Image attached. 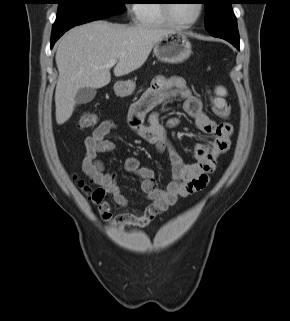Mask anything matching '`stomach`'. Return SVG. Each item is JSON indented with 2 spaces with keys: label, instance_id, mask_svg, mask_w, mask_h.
Masks as SVG:
<instances>
[{
  "label": "stomach",
  "instance_id": "1",
  "mask_svg": "<svg viewBox=\"0 0 290 321\" xmlns=\"http://www.w3.org/2000/svg\"><path fill=\"white\" fill-rule=\"evenodd\" d=\"M154 55L164 63L176 64L188 59L192 53L191 43L187 37L179 32H170L164 35L154 45ZM135 89V82L131 80L118 81L114 84L116 95L125 97Z\"/></svg>",
  "mask_w": 290,
  "mask_h": 321
}]
</instances>
